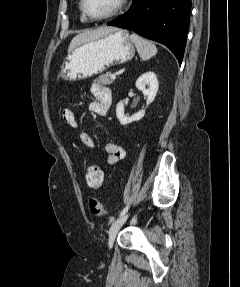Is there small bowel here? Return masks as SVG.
<instances>
[{
    "mask_svg": "<svg viewBox=\"0 0 240 287\" xmlns=\"http://www.w3.org/2000/svg\"><path fill=\"white\" fill-rule=\"evenodd\" d=\"M90 90L94 100L90 102L89 110L99 116L107 115L112 105V93L110 89L103 84L93 83ZM61 116L62 120L70 127H79V120L72 110L64 108ZM80 140L86 147L92 148L95 145L93 137L86 131L80 133ZM104 150L106 152V163L111 166L117 164L126 156L125 149L114 142H107Z\"/></svg>",
    "mask_w": 240,
    "mask_h": 287,
    "instance_id": "small-bowel-1",
    "label": "small bowel"
}]
</instances>
